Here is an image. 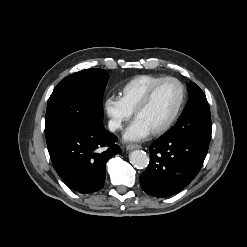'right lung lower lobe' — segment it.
I'll use <instances>...</instances> for the list:
<instances>
[{
    "label": "right lung lower lobe",
    "mask_w": 247,
    "mask_h": 247,
    "mask_svg": "<svg viewBox=\"0 0 247 247\" xmlns=\"http://www.w3.org/2000/svg\"><path fill=\"white\" fill-rule=\"evenodd\" d=\"M46 141L54 169L66 185L80 193L100 190L107 161L121 153L115 144L117 137L102 124L66 130Z\"/></svg>",
    "instance_id": "1"
}]
</instances>
